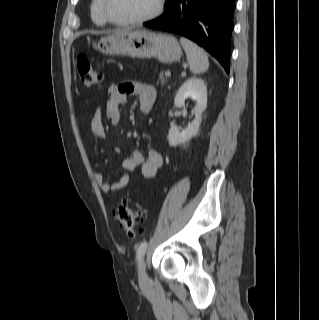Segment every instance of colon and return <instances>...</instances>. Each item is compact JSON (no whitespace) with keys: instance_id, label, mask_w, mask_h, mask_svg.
<instances>
[{"instance_id":"obj_1","label":"colon","mask_w":319,"mask_h":320,"mask_svg":"<svg viewBox=\"0 0 319 320\" xmlns=\"http://www.w3.org/2000/svg\"><path fill=\"white\" fill-rule=\"evenodd\" d=\"M76 64L80 79L86 87H94L102 81V74L85 55L78 56ZM114 216L128 237H135L142 232L141 217L128 201L114 208Z\"/></svg>"}]
</instances>
